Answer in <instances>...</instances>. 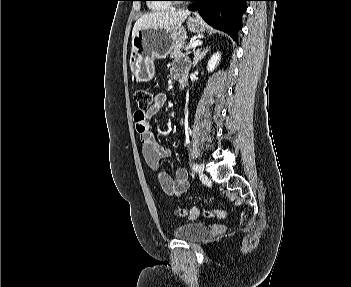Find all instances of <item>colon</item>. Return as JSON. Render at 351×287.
<instances>
[{
	"mask_svg": "<svg viewBox=\"0 0 351 287\" xmlns=\"http://www.w3.org/2000/svg\"><path fill=\"white\" fill-rule=\"evenodd\" d=\"M154 99H155L154 93L150 89L138 88L134 92V100L137 103L138 109L140 111H147L152 106ZM177 214L179 216H189V217L195 216V212L193 210H189V209H179V210H177ZM226 214L227 213L225 210H219V211L206 210V211H204V215L206 217H212V218H217V219L225 218Z\"/></svg>",
	"mask_w": 351,
	"mask_h": 287,
	"instance_id": "5ec220e1",
	"label": "colon"
}]
</instances>
